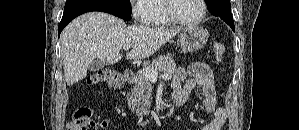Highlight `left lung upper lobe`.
I'll return each instance as SVG.
<instances>
[{
	"label": "left lung upper lobe",
	"mask_w": 299,
	"mask_h": 130,
	"mask_svg": "<svg viewBox=\"0 0 299 130\" xmlns=\"http://www.w3.org/2000/svg\"><path fill=\"white\" fill-rule=\"evenodd\" d=\"M207 6L215 10L222 11L223 13L231 12L230 0H205Z\"/></svg>",
	"instance_id": "obj_1"
}]
</instances>
